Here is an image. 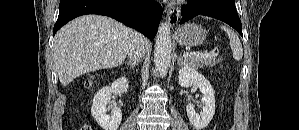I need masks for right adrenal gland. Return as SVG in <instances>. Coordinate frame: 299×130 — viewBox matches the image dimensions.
Returning <instances> with one entry per match:
<instances>
[{
	"label": "right adrenal gland",
	"mask_w": 299,
	"mask_h": 130,
	"mask_svg": "<svg viewBox=\"0 0 299 130\" xmlns=\"http://www.w3.org/2000/svg\"><path fill=\"white\" fill-rule=\"evenodd\" d=\"M125 64L129 65L132 69H135V67H136V62H134V61H128V62H125Z\"/></svg>",
	"instance_id": "1"
}]
</instances>
